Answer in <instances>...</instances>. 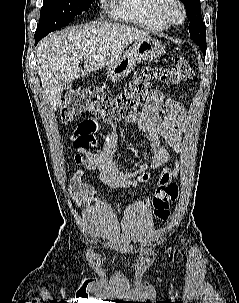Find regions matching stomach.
Masks as SVG:
<instances>
[{"instance_id":"stomach-1","label":"stomach","mask_w":239,"mask_h":303,"mask_svg":"<svg viewBox=\"0 0 239 303\" xmlns=\"http://www.w3.org/2000/svg\"><path fill=\"white\" fill-rule=\"evenodd\" d=\"M164 52V46L154 38L136 40L115 62L106 67L105 74L111 81H120L131 73L137 63L157 59Z\"/></svg>"}]
</instances>
